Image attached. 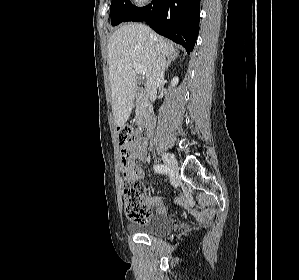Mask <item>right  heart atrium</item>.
<instances>
[{
	"label": "right heart atrium",
	"instance_id": "d8ad5b80",
	"mask_svg": "<svg viewBox=\"0 0 299 280\" xmlns=\"http://www.w3.org/2000/svg\"><path fill=\"white\" fill-rule=\"evenodd\" d=\"M149 0H133L134 4L137 6L145 5Z\"/></svg>",
	"mask_w": 299,
	"mask_h": 280
}]
</instances>
